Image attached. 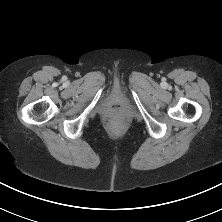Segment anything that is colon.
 <instances>
[{
  "instance_id": "colon-1",
  "label": "colon",
  "mask_w": 222,
  "mask_h": 222,
  "mask_svg": "<svg viewBox=\"0 0 222 222\" xmlns=\"http://www.w3.org/2000/svg\"><path fill=\"white\" fill-rule=\"evenodd\" d=\"M112 123H113V124H117V123H118V120H117V119H113V120H112Z\"/></svg>"
}]
</instances>
